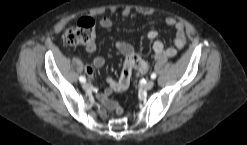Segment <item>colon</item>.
Returning a JSON list of instances; mask_svg holds the SVG:
<instances>
[{
    "instance_id": "colon-1",
    "label": "colon",
    "mask_w": 247,
    "mask_h": 145,
    "mask_svg": "<svg viewBox=\"0 0 247 145\" xmlns=\"http://www.w3.org/2000/svg\"><path fill=\"white\" fill-rule=\"evenodd\" d=\"M64 41L71 46H87L93 43L95 38V22L89 17L81 18L76 24L68 28L64 33ZM134 64H138V58L132 59ZM124 80L130 76V63L124 64L122 69Z\"/></svg>"
}]
</instances>
